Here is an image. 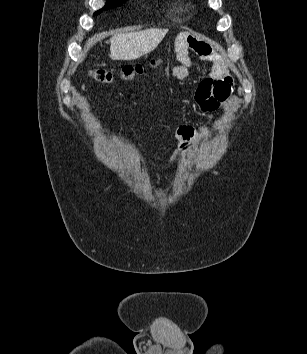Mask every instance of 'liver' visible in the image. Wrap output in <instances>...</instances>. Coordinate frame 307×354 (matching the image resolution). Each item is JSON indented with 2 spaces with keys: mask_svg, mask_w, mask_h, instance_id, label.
Segmentation results:
<instances>
[{
  "mask_svg": "<svg viewBox=\"0 0 307 354\" xmlns=\"http://www.w3.org/2000/svg\"><path fill=\"white\" fill-rule=\"evenodd\" d=\"M167 32L168 29H147L115 35L110 39V58L136 60L156 49Z\"/></svg>",
  "mask_w": 307,
  "mask_h": 354,
  "instance_id": "obj_1",
  "label": "liver"
}]
</instances>
